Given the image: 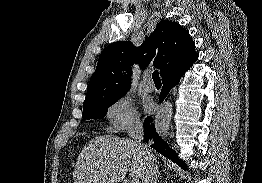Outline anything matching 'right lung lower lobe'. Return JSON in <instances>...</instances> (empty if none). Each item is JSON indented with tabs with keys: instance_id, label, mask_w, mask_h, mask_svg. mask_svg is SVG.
I'll return each mask as SVG.
<instances>
[{
	"instance_id": "right-lung-lower-lobe-1",
	"label": "right lung lower lobe",
	"mask_w": 262,
	"mask_h": 183,
	"mask_svg": "<svg viewBox=\"0 0 262 183\" xmlns=\"http://www.w3.org/2000/svg\"><path fill=\"white\" fill-rule=\"evenodd\" d=\"M183 70L179 73H175L169 76L164 77L163 80V87L160 93V103L165 99V97L168 95L169 91L178 84L180 81V78L183 76V74L187 71ZM153 121L152 117H147L144 121V140L146 143L150 144L151 147H153L155 150H157L159 153L164 155L165 157L169 158L176 164H178L180 167L187 169V166L185 165V162L178 158L177 154L169 148V146L166 144V142L157 134L155 125L151 124Z\"/></svg>"
}]
</instances>
